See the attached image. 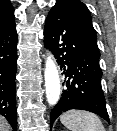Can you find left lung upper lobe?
I'll use <instances>...</instances> for the list:
<instances>
[{
	"label": "left lung upper lobe",
	"mask_w": 117,
	"mask_h": 131,
	"mask_svg": "<svg viewBox=\"0 0 117 131\" xmlns=\"http://www.w3.org/2000/svg\"><path fill=\"white\" fill-rule=\"evenodd\" d=\"M59 3L65 4L72 10L85 34V37L87 38L89 45L99 51L96 32L92 25L91 13L87 6L78 0H57L56 4Z\"/></svg>",
	"instance_id": "1"
}]
</instances>
